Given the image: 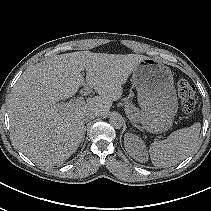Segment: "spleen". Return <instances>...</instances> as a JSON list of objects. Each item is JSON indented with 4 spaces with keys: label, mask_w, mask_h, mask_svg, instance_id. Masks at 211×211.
<instances>
[{
    "label": "spleen",
    "mask_w": 211,
    "mask_h": 211,
    "mask_svg": "<svg viewBox=\"0 0 211 211\" xmlns=\"http://www.w3.org/2000/svg\"><path fill=\"white\" fill-rule=\"evenodd\" d=\"M200 130L201 124L195 123L191 127L174 131L165 140L154 141L149 148L153 165L169 167L184 160L196 149Z\"/></svg>",
    "instance_id": "1"
}]
</instances>
